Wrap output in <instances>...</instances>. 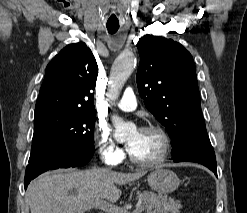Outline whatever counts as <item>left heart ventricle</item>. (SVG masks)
Here are the masks:
<instances>
[{
	"label": "left heart ventricle",
	"mask_w": 247,
	"mask_h": 213,
	"mask_svg": "<svg viewBox=\"0 0 247 213\" xmlns=\"http://www.w3.org/2000/svg\"><path fill=\"white\" fill-rule=\"evenodd\" d=\"M131 154L141 161L155 160L161 153L162 140L155 132L134 131L127 138Z\"/></svg>",
	"instance_id": "left-heart-ventricle-1"
}]
</instances>
